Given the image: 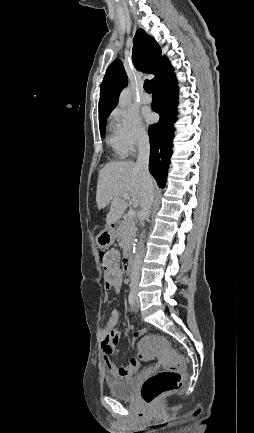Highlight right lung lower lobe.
<instances>
[{
    "label": "right lung lower lobe",
    "instance_id": "right-lung-lower-lobe-1",
    "mask_svg": "<svg viewBox=\"0 0 254 433\" xmlns=\"http://www.w3.org/2000/svg\"><path fill=\"white\" fill-rule=\"evenodd\" d=\"M152 109L160 115L158 123L149 126V170L159 187H164L172 154V139L178 99L177 81L173 68L153 86Z\"/></svg>",
    "mask_w": 254,
    "mask_h": 433
}]
</instances>
